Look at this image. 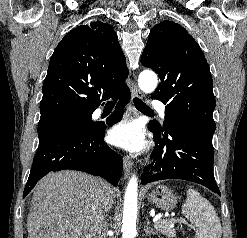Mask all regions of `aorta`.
Listing matches in <instances>:
<instances>
[{
  "mask_svg": "<svg viewBox=\"0 0 247 238\" xmlns=\"http://www.w3.org/2000/svg\"><path fill=\"white\" fill-rule=\"evenodd\" d=\"M140 89L145 93L153 92L158 84L154 72L146 70L140 73L138 78ZM138 181L133 175L128 182L123 207L122 238H135L137 220Z\"/></svg>",
  "mask_w": 247,
  "mask_h": 238,
  "instance_id": "obj_1",
  "label": "aorta"
}]
</instances>
